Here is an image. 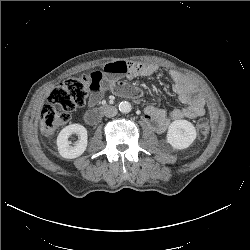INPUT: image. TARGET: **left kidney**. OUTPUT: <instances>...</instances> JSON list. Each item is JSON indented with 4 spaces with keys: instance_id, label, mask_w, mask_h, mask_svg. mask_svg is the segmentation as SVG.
<instances>
[{
    "instance_id": "1",
    "label": "left kidney",
    "mask_w": 250,
    "mask_h": 250,
    "mask_svg": "<svg viewBox=\"0 0 250 250\" xmlns=\"http://www.w3.org/2000/svg\"><path fill=\"white\" fill-rule=\"evenodd\" d=\"M197 133L193 124L187 120H175L167 132V142L177 150L188 148L196 139Z\"/></svg>"
}]
</instances>
